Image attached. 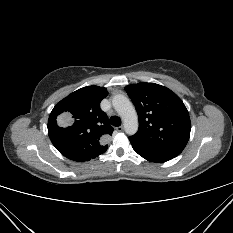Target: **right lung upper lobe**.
Instances as JSON below:
<instances>
[{
	"mask_svg": "<svg viewBox=\"0 0 233 233\" xmlns=\"http://www.w3.org/2000/svg\"><path fill=\"white\" fill-rule=\"evenodd\" d=\"M108 95L99 86L83 87L61 100L48 120V134L55 148L65 157L88 161L104 153L113 128L100 102Z\"/></svg>",
	"mask_w": 233,
	"mask_h": 233,
	"instance_id": "cb5924a9",
	"label": "right lung upper lobe"
}]
</instances>
